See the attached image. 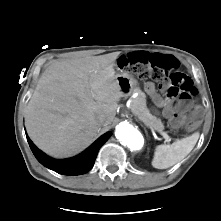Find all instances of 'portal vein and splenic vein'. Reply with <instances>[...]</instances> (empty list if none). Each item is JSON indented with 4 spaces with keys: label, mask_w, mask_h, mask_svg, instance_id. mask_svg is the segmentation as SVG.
I'll use <instances>...</instances> for the list:
<instances>
[{
    "label": "portal vein and splenic vein",
    "mask_w": 221,
    "mask_h": 221,
    "mask_svg": "<svg viewBox=\"0 0 221 221\" xmlns=\"http://www.w3.org/2000/svg\"><path fill=\"white\" fill-rule=\"evenodd\" d=\"M159 132L164 137L165 142L169 143L171 141V138L168 136V134L166 132H163L161 130Z\"/></svg>",
    "instance_id": "portal-vein-and-splenic-vein-1"
}]
</instances>
